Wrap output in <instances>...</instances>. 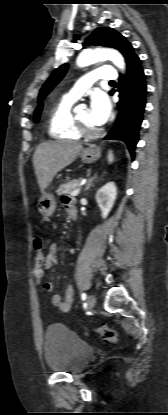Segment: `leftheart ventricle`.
<instances>
[{
  "instance_id": "left-heart-ventricle-1",
  "label": "left heart ventricle",
  "mask_w": 168,
  "mask_h": 415,
  "mask_svg": "<svg viewBox=\"0 0 168 415\" xmlns=\"http://www.w3.org/2000/svg\"><path fill=\"white\" fill-rule=\"evenodd\" d=\"M78 117L90 128L98 129V126L94 125L90 119V110L89 108H82L78 113Z\"/></svg>"
}]
</instances>
